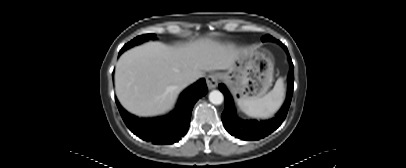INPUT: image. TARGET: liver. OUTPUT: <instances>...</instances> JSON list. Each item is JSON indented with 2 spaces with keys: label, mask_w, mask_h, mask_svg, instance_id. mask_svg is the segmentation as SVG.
Here are the masks:
<instances>
[{
  "label": "liver",
  "mask_w": 406,
  "mask_h": 168,
  "mask_svg": "<svg viewBox=\"0 0 406 168\" xmlns=\"http://www.w3.org/2000/svg\"><path fill=\"white\" fill-rule=\"evenodd\" d=\"M242 50L209 38L173 47L148 42L126 51L115 69V90L122 106L138 116L164 114L186 87L187 75L229 70Z\"/></svg>",
  "instance_id": "1"
}]
</instances>
